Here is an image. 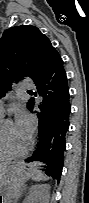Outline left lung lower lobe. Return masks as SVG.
Instances as JSON below:
<instances>
[{
  "instance_id": "1",
  "label": "left lung lower lobe",
  "mask_w": 89,
  "mask_h": 203,
  "mask_svg": "<svg viewBox=\"0 0 89 203\" xmlns=\"http://www.w3.org/2000/svg\"><path fill=\"white\" fill-rule=\"evenodd\" d=\"M33 81L37 86L35 95L44 98L39 105L41 112L37 113L41 134L38 150L25 161L42 162L39 169L60 181L71 108L63 61L52 44L45 49L41 68Z\"/></svg>"
}]
</instances>
